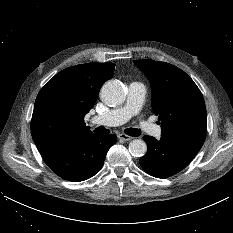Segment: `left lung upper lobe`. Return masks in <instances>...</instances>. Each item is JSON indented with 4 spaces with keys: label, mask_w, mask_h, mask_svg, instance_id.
<instances>
[{
    "label": "left lung upper lobe",
    "mask_w": 233,
    "mask_h": 233,
    "mask_svg": "<svg viewBox=\"0 0 233 233\" xmlns=\"http://www.w3.org/2000/svg\"><path fill=\"white\" fill-rule=\"evenodd\" d=\"M151 84L152 109L161 121L163 137L204 143L206 107L194 81L181 69L165 62L135 60Z\"/></svg>",
    "instance_id": "1"
}]
</instances>
